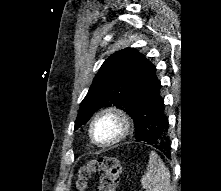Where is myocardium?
<instances>
[{
	"label": "myocardium",
	"instance_id": "myocardium-1",
	"mask_svg": "<svg viewBox=\"0 0 221 191\" xmlns=\"http://www.w3.org/2000/svg\"><path fill=\"white\" fill-rule=\"evenodd\" d=\"M105 117L114 118L118 122L119 131L113 139L107 142L101 143L95 139L94 128L97 122H99L101 119ZM130 129H131V120H130L129 115L124 110L117 108V107H107V108L101 109L93 116L89 125L88 133H89V137L91 141L95 145L99 147H110L123 141L129 134Z\"/></svg>",
	"mask_w": 221,
	"mask_h": 191
}]
</instances>
